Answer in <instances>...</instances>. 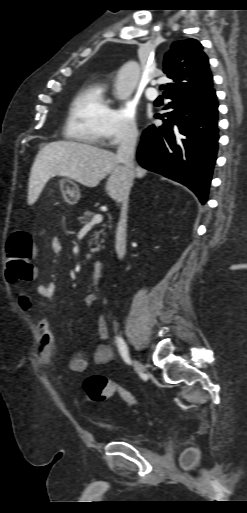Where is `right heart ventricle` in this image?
<instances>
[{
    "label": "right heart ventricle",
    "instance_id": "obj_1",
    "mask_svg": "<svg viewBox=\"0 0 247 513\" xmlns=\"http://www.w3.org/2000/svg\"><path fill=\"white\" fill-rule=\"evenodd\" d=\"M111 109L103 82L85 84L71 101L64 136L75 142L102 144Z\"/></svg>",
    "mask_w": 247,
    "mask_h": 513
}]
</instances>
